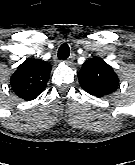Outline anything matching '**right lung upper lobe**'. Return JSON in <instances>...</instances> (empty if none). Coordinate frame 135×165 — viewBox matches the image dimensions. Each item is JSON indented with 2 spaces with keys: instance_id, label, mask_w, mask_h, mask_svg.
I'll list each match as a JSON object with an SVG mask.
<instances>
[{
  "instance_id": "obj_1",
  "label": "right lung upper lobe",
  "mask_w": 135,
  "mask_h": 165,
  "mask_svg": "<svg viewBox=\"0 0 135 165\" xmlns=\"http://www.w3.org/2000/svg\"><path fill=\"white\" fill-rule=\"evenodd\" d=\"M51 64L39 59H26L11 76L13 91L24 100H33L46 88Z\"/></svg>"
}]
</instances>
